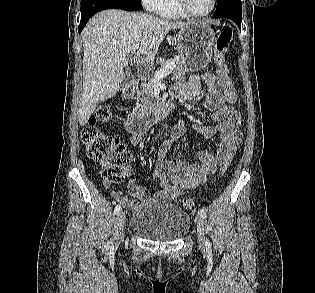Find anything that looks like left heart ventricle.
I'll list each match as a JSON object with an SVG mask.
<instances>
[{
	"label": "left heart ventricle",
	"instance_id": "1",
	"mask_svg": "<svg viewBox=\"0 0 315 293\" xmlns=\"http://www.w3.org/2000/svg\"><path fill=\"white\" fill-rule=\"evenodd\" d=\"M189 6L195 13H205L210 7L212 0H188Z\"/></svg>",
	"mask_w": 315,
	"mask_h": 293
}]
</instances>
